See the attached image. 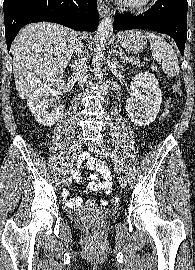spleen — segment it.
Returning <instances> with one entry per match:
<instances>
[{
  "mask_svg": "<svg viewBox=\"0 0 195 270\" xmlns=\"http://www.w3.org/2000/svg\"><path fill=\"white\" fill-rule=\"evenodd\" d=\"M145 36L150 42L152 56L161 64L163 72L170 77L177 76L180 68L172 46L155 33L147 31Z\"/></svg>",
  "mask_w": 195,
  "mask_h": 270,
  "instance_id": "3e777b00",
  "label": "spleen"
}]
</instances>
